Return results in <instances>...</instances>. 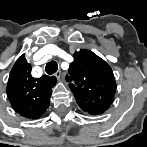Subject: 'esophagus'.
<instances>
[{
    "mask_svg": "<svg viewBox=\"0 0 147 147\" xmlns=\"http://www.w3.org/2000/svg\"><path fill=\"white\" fill-rule=\"evenodd\" d=\"M55 77L59 80L60 77H61V71L58 70L56 73H55Z\"/></svg>",
    "mask_w": 147,
    "mask_h": 147,
    "instance_id": "esophagus-1",
    "label": "esophagus"
}]
</instances>
